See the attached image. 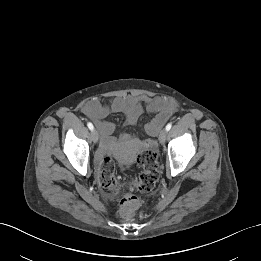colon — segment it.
<instances>
[{
  "label": "colon",
  "instance_id": "obj_1",
  "mask_svg": "<svg viewBox=\"0 0 261 261\" xmlns=\"http://www.w3.org/2000/svg\"><path fill=\"white\" fill-rule=\"evenodd\" d=\"M138 164L142 168L139 176L120 180L115 175V162L110 157H104L99 168V182L102 187L122 196L120 213L122 217L131 218L138 206L137 199L132 192L149 193L155 190L159 179V165L157 153L148 144L138 155Z\"/></svg>",
  "mask_w": 261,
  "mask_h": 261
}]
</instances>
